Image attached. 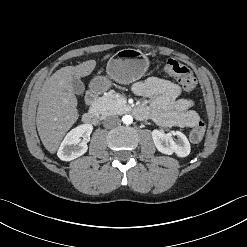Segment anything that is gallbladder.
Returning a JSON list of instances; mask_svg holds the SVG:
<instances>
[{
  "label": "gallbladder",
  "instance_id": "obj_1",
  "mask_svg": "<svg viewBox=\"0 0 247 247\" xmlns=\"http://www.w3.org/2000/svg\"><path fill=\"white\" fill-rule=\"evenodd\" d=\"M72 86L75 94L81 95L85 91V86L79 78L76 77L73 78Z\"/></svg>",
  "mask_w": 247,
  "mask_h": 247
}]
</instances>
